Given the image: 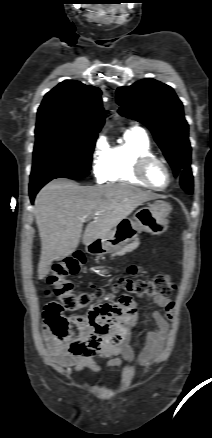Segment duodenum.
Listing matches in <instances>:
<instances>
[{"label":"duodenum","mask_w":212,"mask_h":438,"mask_svg":"<svg viewBox=\"0 0 212 438\" xmlns=\"http://www.w3.org/2000/svg\"><path fill=\"white\" fill-rule=\"evenodd\" d=\"M97 245H98V243H97V242H94V243H92V244L89 246V248H90V249H94V248H96Z\"/></svg>","instance_id":"1"}]
</instances>
